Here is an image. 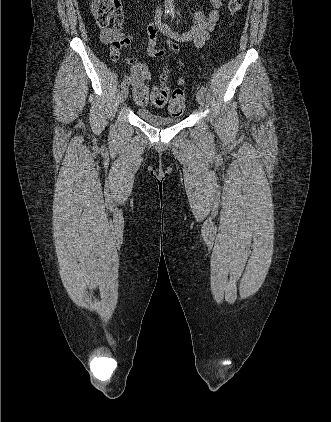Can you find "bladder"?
<instances>
[{
    "label": "bladder",
    "instance_id": "obj_1",
    "mask_svg": "<svg viewBox=\"0 0 331 422\" xmlns=\"http://www.w3.org/2000/svg\"><path fill=\"white\" fill-rule=\"evenodd\" d=\"M137 115L146 123L152 126H169L175 125L181 121V116H168L160 113L153 112L146 108H138Z\"/></svg>",
    "mask_w": 331,
    "mask_h": 422
}]
</instances>
